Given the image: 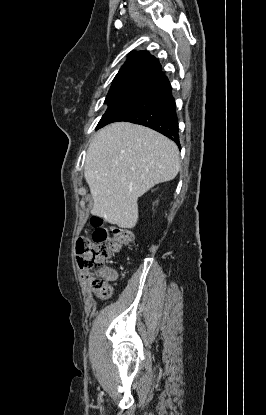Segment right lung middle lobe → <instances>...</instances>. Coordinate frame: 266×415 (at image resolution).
Listing matches in <instances>:
<instances>
[{
  "label": "right lung middle lobe",
  "instance_id": "1",
  "mask_svg": "<svg viewBox=\"0 0 266 415\" xmlns=\"http://www.w3.org/2000/svg\"><path fill=\"white\" fill-rule=\"evenodd\" d=\"M148 95L146 93L132 91L109 92L105 99L108 108L99 121L97 128L103 127L114 114L139 102Z\"/></svg>",
  "mask_w": 266,
  "mask_h": 415
}]
</instances>
